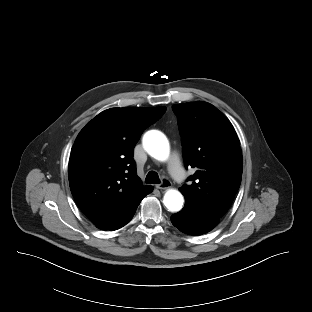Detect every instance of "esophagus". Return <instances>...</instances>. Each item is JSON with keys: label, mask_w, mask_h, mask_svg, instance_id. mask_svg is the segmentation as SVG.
<instances>
[{"label": "esophagus", "mask_w": 312, "mask_h": 312, "mask_svg": "<svg viewBox=\"0 0 312 312\" xmlns=\"http://www.w3.org/2000/svg\"><path fill=\"white\" fill-rule=\"evenodd\" d=\"M171 185H172L171 181L165 178L162 180V182L160 184L156 185V188L157 189H168L171 187Z\"/></svg>", "instance_id": "1"}]
</instances>
